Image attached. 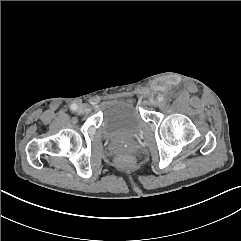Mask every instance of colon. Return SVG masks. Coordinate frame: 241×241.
Listing matches in <instances>:
<instances>
[{"instance_id":"obj_1","label":"colon","mask_w":241,"mask_h":241,"mask_svg":"<svg viewBox=\"0 0 241 241\" xmlns=\"http://www.w3.org/2000/svg\"><path fill=\"white\" fill-rule=\"evenodd\" d=\"M118 163L122 166H129L132 164V159L130 157H121L118 159Z\"/></svg>"}]
</instances>
